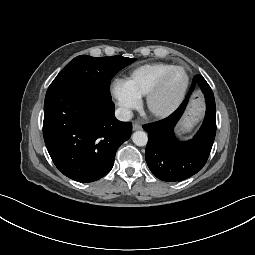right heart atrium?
<instances>
[{"instance_id": "1", "label": "right heart atrium", "mask_w": 255, "mask_h": 255, "mask_svg": "<svg viewBox=\"0 0 255 255\" xmlns=\"http://www.w3.org/2000/svg\"><path fill=\"white\" fill-rule=\"evenodd\" d=\"M111 93L120 109L126 114L138 107L140 103V96H138L124 80H114L111 85Z\"/></svg>"}]
</instances>
